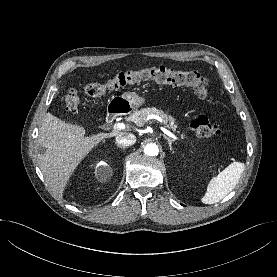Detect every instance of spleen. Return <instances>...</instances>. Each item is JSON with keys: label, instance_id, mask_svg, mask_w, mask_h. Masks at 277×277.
I'll use <instances>...</instances> for the list:
<instances>
[{"label": "spleen", "instance_id": "1", "mask_svg": "<svg viewBox=\"0 0 277 277\" xmlns=\"http://www.w3.org/2000/svg\"><path fill=\"white\" fill-rule=\"evenodd\" d=\"M245 165L242 162H233L208 184L207 191L202 197L204 204H214L229 194L238 183Z\"/></svg>", "mask_w": 277, "mask_h": 277}]
</instances>
